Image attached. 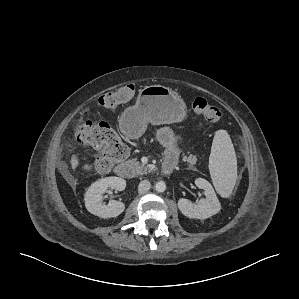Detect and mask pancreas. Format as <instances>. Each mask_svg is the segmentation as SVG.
Masks as SVG:
<instances>
[{
	"label": "pancreas",
	"instance_id": "pancreas-1",
	"mask_svg": "<svg viewBox=\"0 0 299 299\" xmlns=\"http://www.w3.org/2000/svg\"><path fill=\"white\" fill-rule=\"evenodd\" d=\"M182 160L188 164V169L195 170L194 164H196L198 158L190 154L188 156L183 154ZM129 163H131L135 169V175H142V174H147L148 172L151 171L148 167L140 164V162L137 159H132L129 160Z\"/></svg>",
	"mask_w": 299,
	"mask_h": 299
}]
</instances>
